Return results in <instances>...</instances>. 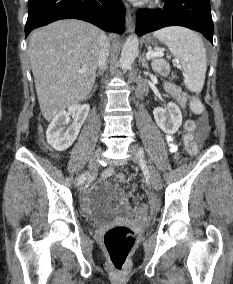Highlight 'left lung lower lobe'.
<instances>
[{"instance_id":"obj_1","label":"left lung lower lobe","mask_w":233,"mask_h":284,"mask_svg":"<svg viewBox=\"0 0 233 284\" xmlns=\"http://www.w3.org/2000/svg\"><path fill=\"white\" fill-rule=\"evenodd\" d=\"M173 25L201 32L212 43L210 0H165L163 9H143L137 13L136 33L139 36Z\"/></svg>"}]
</instances>
